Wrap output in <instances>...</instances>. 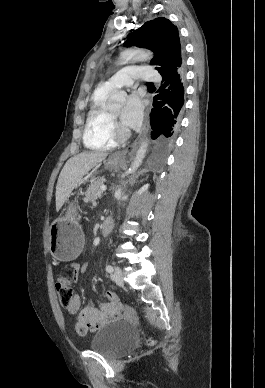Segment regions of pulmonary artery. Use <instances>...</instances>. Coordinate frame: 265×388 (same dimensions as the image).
I'll use <instances>...</instances> for the list:
<instances>
[{
  "instance_id": "obj_1",
  "label": "pulmonary artery",
  "mask_w": 265,
  "mask_h": 388,
  "mask_svg": "<svg viewBox=\"0 0 265 388\" xmlns=\"http://www.w3.org/2000/svg\"><path fill=\"white\" fill-rule=\"evenodd\" d=\"M154 64H127L126 69L120 70V75H111L110 79L104 80V85L109 90L114 88V82L117 86H132L133 82H139V79L146 77V82H157L160 79V72H153Z\"/></svg>"
}]
</instances>
